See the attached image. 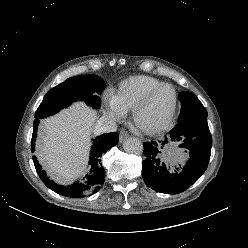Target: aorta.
Listing matches in <instances>:
<instances>
[{
    "instance_id": "1",
    "label": "aorta",
    "mask_w": 248,
    "mask_h": 248,
    "mask_svg": "<svg viewBox=\"0 0 248 248\" xmlns=\"http://www.w3.org/2000/svg\"><path fill=\"white\" fill-rule=\"evenodd\" d=\"M123 148L127 153L130 154H141L143 152L142 142L135 137L125 140L123 143Z\"/></svg>"
}]
</instances>
